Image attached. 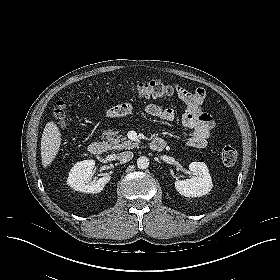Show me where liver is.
Wrapping results in <instances>:
<instances>
[{"label":"liver","mask_w":280,"mask_h":280,"mask_svg":"<svg viewBox=\"0 0 280 280\" xmlns=\"http://www.w3.org/2000/svg\"><path fill=\"white\" fill-rule=\"evenodd\" d=\"M61 145V133L53 121H49L41 138V158L43 167L49 166L59 151Z\"/></svg>","instance_id":"liver-1"}]
</instances>
